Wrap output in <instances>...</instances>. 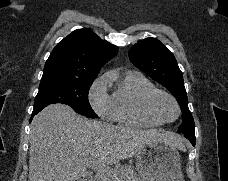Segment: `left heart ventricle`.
<instances>
[{"label":"left heart ventricle","instance_id":"1","mask_svg":"<svg viewBox=\"0 0 228 181\" xmlns=\"http://www.w3.org/2000/svg\"><path fill=\"white\" fill-rule=\"evenodd\" d=\"M151 107L155 113H162L165 116H172L174 114L171 101L163 95H157L151 103Z\"/></svg>","mask_w":228,"mask_h":181}]
</instances>
